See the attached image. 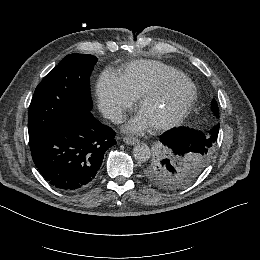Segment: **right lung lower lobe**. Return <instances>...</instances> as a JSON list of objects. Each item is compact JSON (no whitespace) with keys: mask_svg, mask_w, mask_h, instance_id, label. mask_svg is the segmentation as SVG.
Returning <instances> with one entry per match:
<instances>
[{"mask_svg":"<svg viewBox=\"0 0 260 260\" xmlns=\"http://www.w3.org/2000/svg\"><path fill=\"white\" fill-rule=\"evenodd\" d=\"M115 132L90 111L30 141L42 176L62 191L84 189L97 177L104 154L116 144Z\"/></svg>","mask_w":260,"mask_h":260,"instance_id":"obj_1","label":"right lung lower lobe"}]
</instances>
